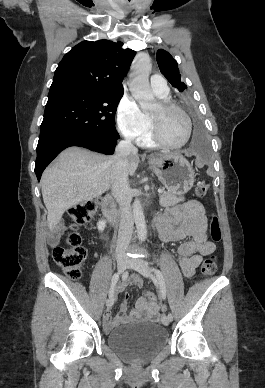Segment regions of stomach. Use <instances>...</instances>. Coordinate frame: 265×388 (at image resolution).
Wrapping results in <instances>:
<instances>
[{
    "label": "stomach",
    "instance_id": "0dacf381",
    "mask_svg": "<svg viewBox=\"0 0 265 388\" xmlns=\"http://www.w3.org/2000/svg\"><path fill=\"white\" fill-rule=\"evenodd\" d=\"M149 165L169 192L180 195L192 188L194 170L182 155H152Z\"/></svg>",
    "mask_w": 265,
    "mask_h": 388
}]
</instances>
